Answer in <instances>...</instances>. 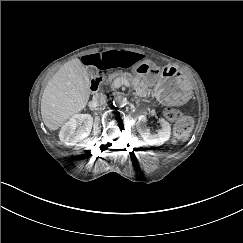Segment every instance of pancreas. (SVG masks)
I'll return each mask as SVG.
<instances>
[{
	"mask_svg": "<svg viewBox=\"0 0 243 243\" xmlns=\"http://www.w3.org/2000/svg\"><path fill=\"white\" fill-rule=\"evenodd\" d=\"M122 78H127V79H130L132 81L133 89L135 90V95H137L139 97H147L149 95L151 90L147 86L142 85L141 82L136 81V78L132 74L113 73V74H110V75H106L104 77V80L111 84L112 90H115V89H117L121 86V79Z\"/></svg>",
	"mask_w": 243,
	"mask_h": 243,
	"instance_id": "1",
	"label": "pancreas"
}]
</instances>
